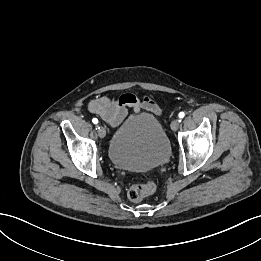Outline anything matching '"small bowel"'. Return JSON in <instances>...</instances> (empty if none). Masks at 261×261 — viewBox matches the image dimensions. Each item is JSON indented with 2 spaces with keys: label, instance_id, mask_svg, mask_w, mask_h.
Here are the masks:
<instances>
[{
  "label": "small bowel",
  "instance_id": "c3829d8e",
  "mask_svg": "<svg viewBox=\"0 0 261 261\" xmlns=\"http://www.w3.org/2000/svg\"><path fill=\"white\" fill-rule=\"evenodd\" d=\"M91 113L97 114L111 127L119 126L127 117L128 110L135 113L147 110L155 115L161 114L159 105L148 97L139 98L134 94H123L117 99L101 96L91 100L88 104Z\"/></svg>",
  "mask_w": 261,
  "mask_h": 261
}]
</instances>
